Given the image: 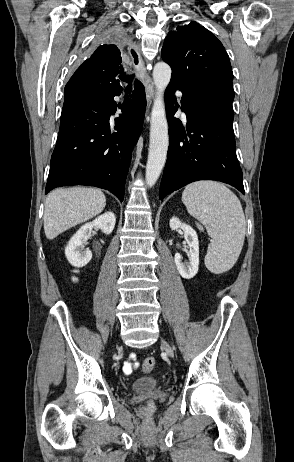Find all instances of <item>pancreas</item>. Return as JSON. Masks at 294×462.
<instances>
[{
    "label": "pancreas",
    "instance_id": "cf45deb5",
    "mask_svg": "<svg viewBox=\"0 0 294 462\" xmlns=\"http://www.w3.org/2000/svg\"><path fill=\"white\" fill-rule=\"evenodd\" d=\"M197 228L200 230V231H203V227L199 224H197Z\"/></svg>",
    "mask_w": 294,
    "mask_h": 462
}]
</instances>
